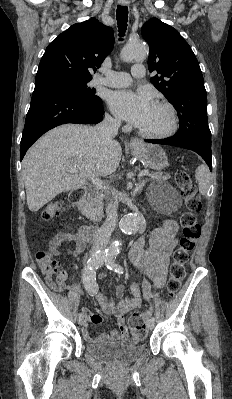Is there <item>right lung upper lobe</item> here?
Segmentation results:
<instances>
[{"mask_svg":"<svg viewBox=\"0 0 232 399\" xmlns=\"http://www.w3.org/2000/svg\"><path fill=\"white\" fill-rule=\"evenodd\" d=\"M114 46L111 27L91 18L61 33L45 50L35 83L56 78L92 79Z\"/></svg>","mask_w":232,"mask_h":399,"instance_id":"cb5924a9","label":"right lung upper lobe"}]
</instances>
